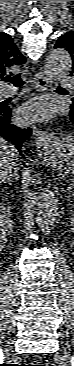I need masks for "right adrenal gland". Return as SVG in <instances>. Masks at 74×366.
<instances>
[{
    "label": "right adrenal gland",
    "mask_w": 74,
    "mask_h": 366,
    "mask_svg": "<svg viewBox=\"0 0 74 366\" xmlns=\"http://www.w3.org/2000/svg\"><path fill=\"white\" fill-rule=\"evenodd\" d=\"M15 178V179H17V177H18V175H17V173L16 174H14V175H12V176H10L9 178H7L6 179V182H10L11 180H12V178Z\"/></svg>",
    "instance_id": "right-adrenal-gland-1"
}]
</instances>
